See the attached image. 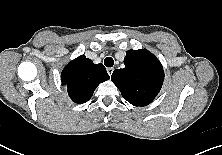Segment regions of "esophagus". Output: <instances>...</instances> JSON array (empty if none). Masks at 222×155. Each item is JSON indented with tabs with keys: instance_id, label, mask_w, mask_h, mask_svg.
Masks as SVG:
<instances>
[{
	"instance_id": "obj_1",
	"label": "esophagus",
	"mask_w": 222,
	"mask_h": 155,
	"mask_svg": "<svg viewBox=\"0 0 222 155\" xmlns=\"http://www.w3.org/2000/svg\"><path fill=\"white\" fill-rule=\"evenodd\" d=\"M114 69L113 68H107V73L109 74V76L112 75Z\"/></svg>"
}]
</instances>
